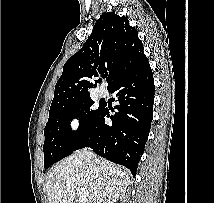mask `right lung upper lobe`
Instances as JSON below:
<instances>
[{
  "instance_id": "cb5924a9",
  "label": "right lung upper lobe",
  "mask_w": 214,
  "mask_h": 203,
  "mask_svg": "<svg viewBox=\"0 0 214 203\" xmlns=\"http://www.w3.org/2000/svg\"><path fill=\"white\" fill-rule=\"evenodd\" d=\"M137 30L126 17L104 13L83 47L70 57L55 86L50 111L90 97L98 76L107 75L109 89L117 80L140 69L148 59Z\"/></svg>"
}]
</instances>
